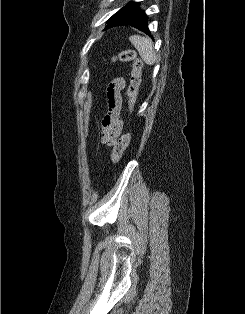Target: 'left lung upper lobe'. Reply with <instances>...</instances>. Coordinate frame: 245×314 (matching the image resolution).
<instances>
[{
  "label": "left lung upper lobe",
  "instance_id": "5c2ea615",
  "mask_svg": "<svg viewBox=\"0 0 245 314\" xmlns=\"http://www.w3.org/2000/svg\"><path fill=\"white\" fill-rule=\"evenodd\" d=\"M141 10L138 9V3L131 2L115 13L107 22L105 29L128 24Z\"/></svg>",
  "mask_w": 245,
  "mask_h": 314
}]
</instances>
